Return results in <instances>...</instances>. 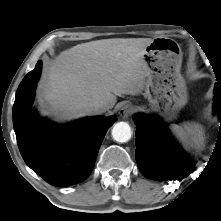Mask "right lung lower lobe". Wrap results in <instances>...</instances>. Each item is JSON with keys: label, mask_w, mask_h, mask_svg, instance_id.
<instances>
[{"label": "right lung lower lobe", "mask_w": 221, "mask_h": 221, "mask_svg": "<svg viewBox=\"0 0 221 221\" xmlns=\"http://www.w3.org/2000/svg\"><path fill=\"white\" fill-rule=\"evenodd\" d=\"M42 62L20 83L13 107V126L25 163L48 183L64 187L84 181L92 172L108 128L117 120L88 117L67 125L49 123L32 108Z\"/></svg>", "instance_id": "right-lung-lower-lobe-1"}]
</instances>
